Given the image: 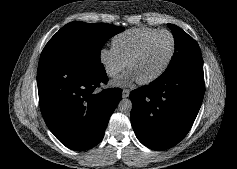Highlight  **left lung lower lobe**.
Returning <instances> with one entry per match:
<instances>
[{
	"instance_id": "0a47b994",
	"label": "left lung lower lobe",
	"mask_w": 237,
	"mask_h": 169,
	"mask_svg": "<svg viewBox=\"0 0 237 169\" xmlns=\"http://www.w3.org/2000/svg\"><path fill=\"white\" fill-rule=\"evenodd\" d=\"M203 95V67L159 77L133 90L131 122L139 141L153 150L175 146L192 127Z\"/></svg>"
}]
</instances>
